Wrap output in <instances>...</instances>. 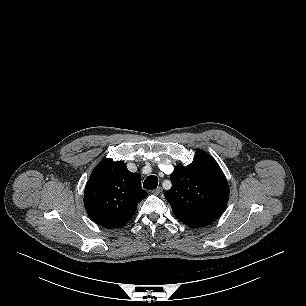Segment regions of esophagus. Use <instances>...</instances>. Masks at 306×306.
Returning <instances> with one entry per match:
<instances>
[{
  "mask_svg": "<svg viewBox=\"0 0 306 306\" xmlns=\"http://www.w3.org/2000/svg\"><path fill=\"white\" fill-rule=\"evenodd\" d=\"M163 191L162 187H157L156 189H154L152 192L156 195L160 194Z\"/></svg>",
  "mask_w": 306,
  "mask_h": 306,
  "instance_id": "esophagus-1",
  "label": "esophagus"
}]
</instances>
